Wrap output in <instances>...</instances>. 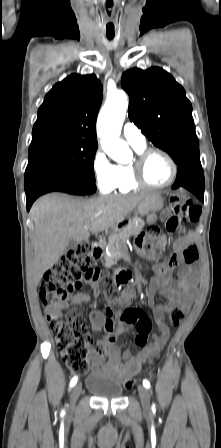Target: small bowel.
Returning <instances> with one entry per match:
<instances>
[{
    "instance_id": "1",
    "label": "small bowel",
    "mask_w": 221,
    "mask_h": 448,
    "mask_svg": "<svg viewBox=\"0 0 221 448\" xmlns=\"http://www.w3.org/2000/svg\"><path fill=\"white\" fill-rule=\"evenodd\" d=\"M155 218H151L152 226L148 232V236H141L136 241V247L141 250H147L150 254H153V248L161 250L167 244V238L165 234L159 232L158 228L154 225ZM190 239L188 236H182L176 242L175 253L165 259L162 262H157L152 270L154 276L150 280L148 288V305L153 311L154 319L159 328V334H155L152 337V342L139 351L136 355H132L130 350H125L120 353L119 346L116 342V336L122 335L133 324L127 322L124 315V311L132 306L133 303V291L130 289L124 290L121 296L118 298L120 307L116 308L115 305L110 302L105 312L100 310H93L89 314V321L94 332L101 333L103 331L111 332L106 325L109 318L121 319L120 324L116 327L115 335L109 336L105 340L101 341L97 347L90 350V359L92 362L93 370L96 372H107L114 376V379L124 382L127 378L137 372L140 365L148 358L155 357L157 353L164 347L169 339L170 332L169 327L165 323V318L168 313L173 309H179L182 313H187L193 303L195 289L198 282V271L194 264H185L180 259V251L182 248L188 245ZM180 266L178 279L172 280L171 274L173 270ZM92 289L95 295H99L100 287L98 281L92 283ZM160 293L168 299V302L164 306H157L154 303V295ZM91 298L88 294L77 293L72 295L70 300L64 303L59 308L52 306L46 308V314L79 305L82 303H89ZM127 307L123 312L122 308Z\"/></svg>"
}]
</instances>
